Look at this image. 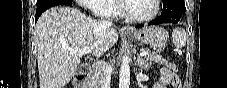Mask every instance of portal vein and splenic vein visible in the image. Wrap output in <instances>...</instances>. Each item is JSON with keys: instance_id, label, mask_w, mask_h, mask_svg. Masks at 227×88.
Returning a JSON list of instances; mask_svg holds the SVG:
<instances>
[{"instance_id": "1", "label": "portal vein and splenic vein", "mask_w": 227, "mask_h": 88, "mask_svg": "<svg viewBox=\"0 0 227 88\" xmlns=\"http://www.w3.org/2000/svg\"><path fill=\"white\" fill-rule=\"evenodd\" d=\"M65 50L70 53V54H74V55H78V56H81V55H86L88 53L91 52V49L89 47H85V48H81V49H66ZM153 53H151L150 51H142L140 53V56H148V55H151Z\"/></svg>"}]
</instances>
